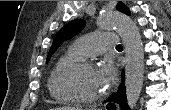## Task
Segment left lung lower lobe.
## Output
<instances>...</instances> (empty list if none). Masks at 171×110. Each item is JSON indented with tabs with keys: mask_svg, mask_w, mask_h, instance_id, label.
<instances>
[{
	"mask_svg": "<svg viewBox=\"0 0 171 110\" xmlns=\"http://www.w3.org/2000/svg\"><path fill=\"white\" fill-rule=\"evenodd\" d=\"M109 102L119 103L121 110H129L126 102V95H125V86L124 81L122 80V84L119 86V89L112 98L108 100Z\"/></svg>",
	"mask_w": 171,
	"mask_h": 110,
	"instance_id": "1",
	"label": "left lung lower lobe"
}]
</instances>
